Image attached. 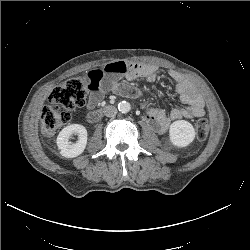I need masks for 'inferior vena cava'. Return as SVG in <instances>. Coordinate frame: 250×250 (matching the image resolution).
Returning <instances> with one entry per match:
<instances>
[{
    "label": "inferior vena cava",
    "mask_w": 250,
    "mask_h": 250,
    "mask_svg": "<svg viewBox=\"0 0 250 250\" xmlns=\"http://www.w3.org/2000/svg\"><path fill=\"white\" fill-rule=\"evenodd\" d=\"M105 116L114 117L117 114V109L114 106L108 105L103 109Z\"/></svg>",
    "instance_id": "1"
}]
</instances>
